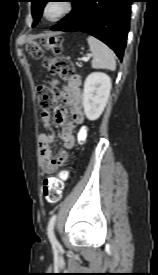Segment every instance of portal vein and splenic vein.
Listing matches in <instances>:
<instances>
[{
    "label": "portal vein and splenic vein",
    "instance_id": "obj_1",
    "mask_svg": "<svg viewBox=\"0 0 158 275\" xmlns=\"http://www.w3.org/2000/svg\"><path fill=\"white\" fill-rule=\"evenodd\" d=\"M89 59H90V56H84V57H82L83 61H88Z\"/></svg>",
    "mask_w": 158,
    "mask_h": 275
}]
</instances>
